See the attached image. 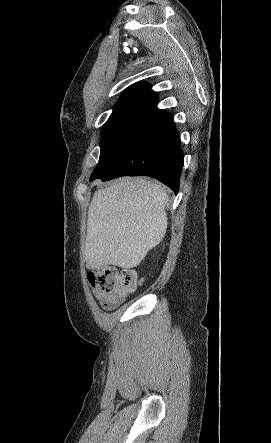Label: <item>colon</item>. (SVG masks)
<instances>
[{
	"label": "colon",
	"instance_id": "obj_1",
	"mask_svg": "<svg viewBox=\"0 0 271 443\" xmlns=\"http://www.w3.org/2000/svg\"><path fill=\"white\" fill-rule=\"evenodd\" d=\"M90 286L101 293L116 298H126L135 290L136 278L132 269L106 267L88 274Z\"/></svg>",
	"mask_w": 271,
	"mask_h": 443
}]
</instances>
